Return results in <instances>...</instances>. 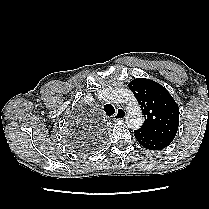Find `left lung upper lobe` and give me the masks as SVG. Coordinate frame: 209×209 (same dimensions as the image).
I'll return each instance as SVG.
<instances>
[{
	"mask_svg": "<svg viewBox=\"0 0 209 209\" xmlns=\"http://www.w3.org/2000/svg\"><path fill=\"white\" fill-rule=\"evenodd\" d=\"M129 88L145 117L139 130L174 139L179 125V107L166 88L144 78L134 79L129 83Z\"/></svg>",
	"mask_w": 209,
	"mask_h": 209,
	"instance_id": "left-lung-upper-lobe-1",
	"label": "left lung upper lobe"
}]
</instances>
